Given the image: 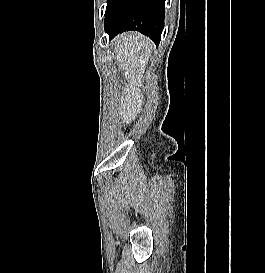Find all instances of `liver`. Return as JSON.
Returning a JSON list of instances; mask_svg holds the SVG:
<instances>
[{
  "mask_svg": "<svg viewBox=\"0 0 265 273\" xmlns=\"http://www.w3.org/2000/svg\"><path fill=\"white\" fill-rule=\"evenodd\" d=\"M115 58L119 67L124 71L123 75L128 80L117 108L119 118L124 123L135 120L138 110L141 108L143 96L141 90L144 69L151 56L153 43L139 33L128 32L114 39Z\"/></svg>",
  "mask_w": 265,
  "mask_h": 273,
  "instance_id": "obj_1",
  "label": "liver"
}]
</instances>
